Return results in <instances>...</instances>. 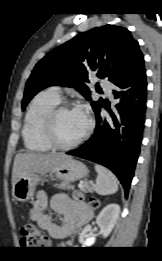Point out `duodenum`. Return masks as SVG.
Listing matches in <instances>:
<instances>
[{"instance_id": "duodenum-1", "label": "duodenum", "mask_w": 162, "mask_h": 261, "mask_svg": "<svg viewBox=\"0 0 162 261\" xmlns=\"http://www.w3.org/2000/svg\"><path fill=\"white\" fill-rule=\"evenodd\" d=\"M68 231L65 229V228H63V233H67Z\"/></svg>"}]
</instances>
